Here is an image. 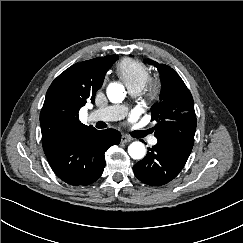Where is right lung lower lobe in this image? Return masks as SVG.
Here are the masks:
<instances>
[{
	"instance_id": "1",
	"label": "right lung lower lobe",
	"mask_w": 243,
	"mask_h": 243,
	"mask_svg": "<svg viewBox=\"0 0 243 243\" xmlns=\"http://www.w3.org/2000/svg\"><path fill=\"white\" fill-rule=\"evenodd\" d=\"M119 142L120 134L115 130L91 129L43 144V149L56 175L64 182L78 186L91 184L102 175L105 151Z\"/></svg>"
}]
</instances>
